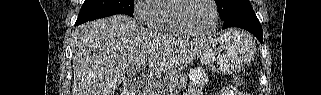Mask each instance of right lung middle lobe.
<instances>
[{
    "label": "right lung middle lobe",
    "mask_w": 321,
    "mask_h": 95,
    "mask_svg": "<svg viewBox=\"0 0 321 95\" xmlns=\"http://www.w3.org/2000/svg\"><path fill=\"white\" fill-rule=\"evenodd\" d=\"M133 0H85L79 12L76 24L115 14H127L133 17Z\"/></svg>",
    "instance_id": "right-lung-middle-lobe-1"
}]
</instances>
